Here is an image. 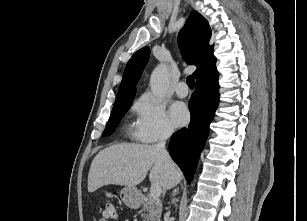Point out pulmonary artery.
<instances>
[{"mask_svg": "<svg viewBox=\"0 0 307 221\" xmlns=\"http://www.w3.org/2000/svg\"><path fill=\"white\" fill-rule=\"evenodd\" d=\"M176 95L180 98H184L188 95L189 91L185 82H179L175 88Z\"/></svg>", "mask_w": 307, "mask_h": 221, "instance_id": "e3ab8cb5", "label": "pulmonary artery"}]
</instances>
